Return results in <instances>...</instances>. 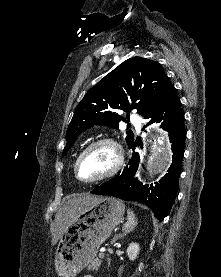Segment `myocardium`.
Here are the masks:
<instances>
[{"label": "myocardium", "instance_id": "myocardium-1", "mask_svg": "<svg viewBox=\"0 0 221 277\" xmlns=\"http://www.w3.org/2000/svg\"><path fill=\"white\" fill-rule=\"evenodd\" d=\"M100 145H108L114 151L115 161H114L113 166L111 167L110 170H108L106 173L102 174L99 177H96V178H93V179H83V178H81L80 175H79V165H80V162H81L82 158L90 150H92L93 148H95L97 146H100ZM123 162H124V150H123L121 144L113 138L103 137V138H100V139H97V140L93 141L92 143H90L88 146H86L81 151V153L78 155V157L75 161V164H74V173H75L76 178L79 181L83 182V183H88V184L97 183V182L103 181L105 179H108V178L114 176L121 169V167L123 165Z\"/></svg>", "mask_w": 221, "mask_h": 277}]
</instances>
